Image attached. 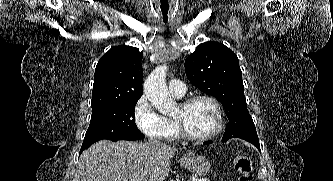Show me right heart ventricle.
Masks as SVG:
<instances>
[{
	"label": "right heart ventricle",
	"mask_w": 333,
	"mask_h": 181,
	"mask_svg": "<svg viewBox=\"0 0 333 181\" xmlns=\"http://www.w3.org/2000/svg\"><path fill=\"white\" fill-rule=\"evenodd\" d=\"M176 133V129H175V131H174V133L173 134H175Z\"/></svg>",
	"instance_id": "e07e8e85"
}]
</instances>
